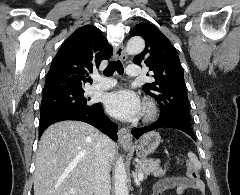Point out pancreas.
<instances>
[{
	"instance_id": "pancreas-1",
	"label": "pancreas",
	"mask_w": 240,
	"mask_h": 195,
	"mask_svg": "<svg viewBox=\"0 0 240 195\" xmlns=\"http://www.w3.org/2000/svg\"><path fill=\"white\" fill-rule=\"evenodd\" d=\"M159 165L160 159H139L135 167L136 171H142L144 175H149V173H153L155 177H161V175H164V173H166V169H161Z\"/></svg>"
}]
</instances>
